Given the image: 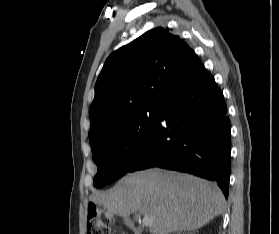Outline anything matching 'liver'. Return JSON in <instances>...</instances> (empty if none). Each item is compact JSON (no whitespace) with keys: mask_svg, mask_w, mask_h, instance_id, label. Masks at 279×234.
I'll return each instance as SVG.
<instances>
[{"mask_svg":"<svg viewBox=\"0 0 279 234\" xmlns=\"http://www.w3.org/2000/svg\"><path fill=\"white\" fill-rule=\"evenodd\" d=\"M91 200L110 213L127 217L139 212L152 219L153 234L192 231L222 215L224 196L207 180L172 171L149 169L124 176L109 191Z\"/></svg>","mask_w":279,"mask_h":234,"instance_id":"liver-1","label":"liver"}]
</instances>
